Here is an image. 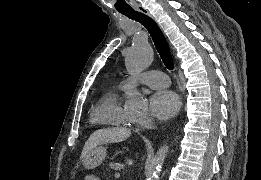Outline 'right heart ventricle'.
Segmentation results:
<instances>
[{
  "instance_id": "1",
  "label": "right heart ventricle",
  "mask_w": 261,
  "mask_h": 180,
  "mask_svg": "<svg viewBox=\"0 0 261 180\" xmlns=\"http://www.w3.org/2000/svg\"><path fill=\"white\" fill-rule=\"evenodd\" d=\"M120 91L121 86L111 89L97 100L91 112L90 121H100L101 125L90 126L91 131H97V127H121L118 121L121 112Z\"/></svg>"
}]
</instances>
